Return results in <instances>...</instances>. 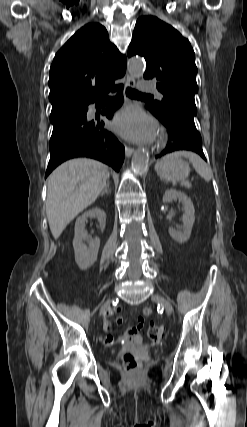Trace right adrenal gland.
I'll list each match as a JSON object with an SVG mask.
<instances>
[{
  "label": "right adrenal gland",
  "mask_w": 247,
  "mask_h": 427,
  "mask_svg": "<svg viewBox=\"0 0 247 427\" xmlns=\"http://www.w3.org/2000/svg\"><path fill=\"white\" fill-rule=\"evenodd\" d=\"M110 192H111L110 184L107 183L101 192V196H103L105 194H110Z\"/></svg>",
  "instance_id": "2a0ac1e0"
}]
</instances>
